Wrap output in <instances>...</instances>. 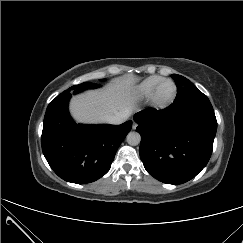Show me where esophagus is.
Segmentation results:
<instances>
[{
  "mask_svg": "<svg viewBox=\"0 0 243 243\" xmlns=\"http://www.w3.org/2000/svg\"><path fill=\"white\" fill-rule=\"evenodd\" d=\"M137 126H138L137 122L133 121L132 128L135 130L137 128Z\"/></svg>",
  "mask_w": 243,
  "mask_h": 243,
  "instance_id": "esophagus-1",
  "label": "esophagus"
}]
</instances>
